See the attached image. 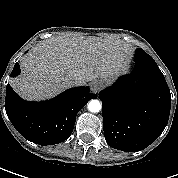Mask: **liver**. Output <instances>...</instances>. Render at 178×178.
Here are the masks:
<instances>
[{
	"label": "liver",
	"mask_w": 178,
	"mask_h": 178,
	"mask_svg": "<svg viewBox=\"0 0 178 178\" xmlns=\"http://www.w3.org/2000/svg\"><path fill=\"white\" fill-rule=\"evenodd\" d=\"M129 54L130 47L120 40L51 37L22 60V74L11 85L27 100L49 98L70 87V77H77L79 85L110 81L126 70Z\"/></svg>",
	"instance_id": "1"
}]
</instances>
